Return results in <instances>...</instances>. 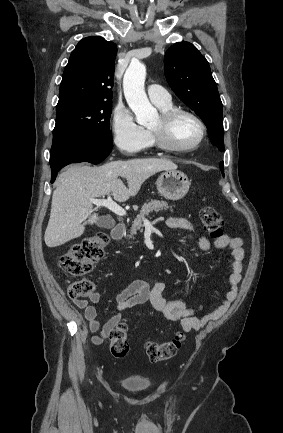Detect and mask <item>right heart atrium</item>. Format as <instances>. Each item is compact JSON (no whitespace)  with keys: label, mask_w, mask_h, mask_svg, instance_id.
Listing matches in <instances>:
<instances>
[{"label":"right heart atrium","mask_w":283,"mask_h":433,"mask_svg":"<svg viewBox=\"0 0 283 433\" xmlns=\"http://www.w3.org/2000/svg\"><path fill=\"white\" fill-rule=\"evenodd\" d=\"M111 138L115 148L125 155H136L142 145L152 141L150 133L135 122L132 112L115 106L110 115Z\"/></svg>","instance_id":"1"}]
</instances>
